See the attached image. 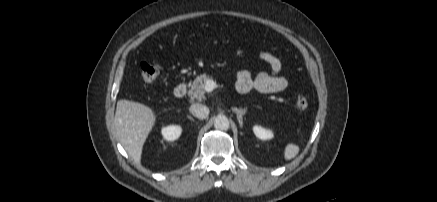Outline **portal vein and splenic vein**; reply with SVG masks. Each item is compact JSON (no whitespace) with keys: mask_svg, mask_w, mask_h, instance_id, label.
<instances>
[{"mask_svg":"<svg viewBox=\"0 0 437 202\" xmlns=\"http://www.w3.org/2000/svg\"><path fill=\"white\" fill-rule=\"evenodd\" d=\"M215 88V82L211 79L207 80L205 83V91L211 92Z\"/></svg>","mask_w":437,"mask_h":202,"instance_id":"18ae733b","label":"portal vein and splenic vein"}]
</instances>
